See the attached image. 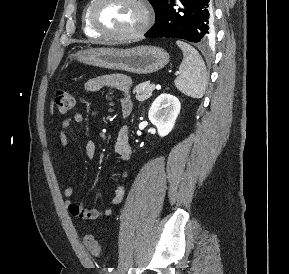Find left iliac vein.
Returning a JSON list of instances; mask_svg holds the SVG:
<instances>
[{"label":"left iliac vein","mask_w":289,"mask_h":274,"mask_svg":"<svg viewBox=\"0 0 289 274\" xmlns=\"http://www.w3.org/2000/svg\"><path fill=\"white\" fill-rule=\"evenodd\" d=\"M112 274H119L116 270H114L113 272H112Z\"/></svg>","instance_id":"obj_1"}]
</instances>
